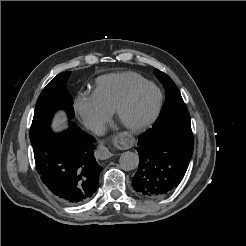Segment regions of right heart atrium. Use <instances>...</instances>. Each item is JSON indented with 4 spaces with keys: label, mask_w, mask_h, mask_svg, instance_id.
I'll list each match as a JSON object with an SVG mask.
<instances>
[{
    "label": "right heart atrium",
    "mask_w": 246,
    "mask_h": 246,
    "mask_svg": "<svg viewBox=\"0 0 246 246\" xmlns=\"http://www.w3.org/2000/svg\"><path fill=\"white\" fill-rule=\"evenodd\" d=\"M74 110L82 123L94 132H100L111 115V112L89 93H81L75 99Z\"/></svg>",
    "instance_id": "d8ad5b80"
}]
</instances>
